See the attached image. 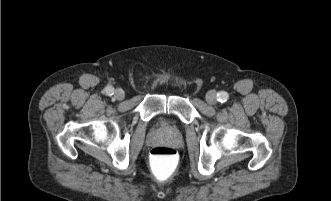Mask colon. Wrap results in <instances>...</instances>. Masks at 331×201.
I'll list each match as a JSON object with an SVG mask.
<instances>
[{
  "label": "colon",
  "instance_id": "5ec220e1",
  "mask_svg": "<svg viewBox=\"0 0 331 201\" xmlns=\"http://www.w3.org/2000/svg\"><path fill=\"white\" fill-rule=\"evenodd\" d=\"M149 164L157 180H168L178 170V152L172 147L156 146L150 151Z\"/></svg>",
  "mask_w": 331,
  "mask_h": 201
}]
</instances>
